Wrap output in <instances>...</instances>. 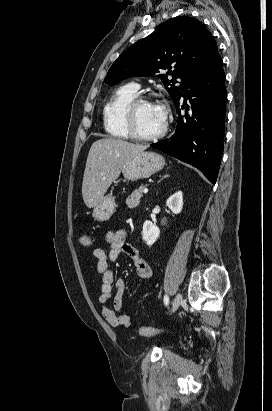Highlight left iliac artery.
Wrapping results in <instances>:
<instances>
[{"label":"left iliac artery","mask_w":272,"mask_h":411,"mask_svg":"<svg viewBox=\"0 0 272 411\" xmlns=\"http://www.w3.org/2000/svg\"><path fill=\"white\" fill-rule=\"evenodd\" d=\"M164 304L167 306L169 304V297L168 295L164 296Z\"/></svg>","instance_id":"1"}]
</instances>
